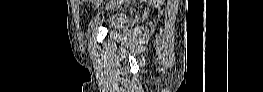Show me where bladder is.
Wrapping results in <instances>:
<instances>
[{
  "label": "bladder",
  "instance_id": "31cf9c89",
  "mask_svg": "<svg viewBox=\"0 0 263 92\" xmlns=\"http://www.w3.org/2000/svg\"><path fill=\"white\" fill-rule=\"evenodd\" d=\"M129 15L122 11H113L104 18L105 26L109 29L119 28L127 25Z\"/></svg>",
  "mask_w": 263,
  "mask_h": 92
}]
</instances>
